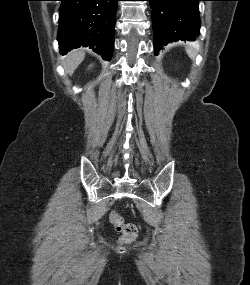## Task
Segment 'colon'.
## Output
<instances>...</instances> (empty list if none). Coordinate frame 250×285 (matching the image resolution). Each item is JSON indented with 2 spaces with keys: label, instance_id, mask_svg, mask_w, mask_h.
<instances>
[{
  "label": "colon",
  "instance_id": "colon-1",
  "mask_svg": "<svg viewBox=\"0 0 250 285\" xmlns=\"http://www.w3.org/2000/svg\"><path fill=\"white\" fill-rule=\"evenodd\" d=\"M110 221L116 230L121 234L120 241L122 243H129L137 237V226L132 223H126L122 216L119 215L116 211L111 212Z\"/></svg>",
  "mask_w": 250,
  "mask_h": 285
}]
</instances>
